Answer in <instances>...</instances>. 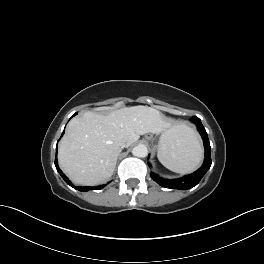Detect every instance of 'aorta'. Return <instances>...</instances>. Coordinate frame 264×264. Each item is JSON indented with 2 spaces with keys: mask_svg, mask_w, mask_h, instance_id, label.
Masks as SVG:
<instances>
[{
  "mask_svg": "<svg viewBox=\"0 0 264 264\" xmlns=\"http://www.w3.org/2000/svg\"><path fill=\"white\" fill-rule=\"evenodd\" d=\"M132 154L136 157L144 158L148 155V149L145 145H137L133 148Z\"/></svg>",
  "mask_w": 264,
  "mask_h": 264,
  "instance_id": "obj_1",
  "label": "aorta"
}]
</instances>
